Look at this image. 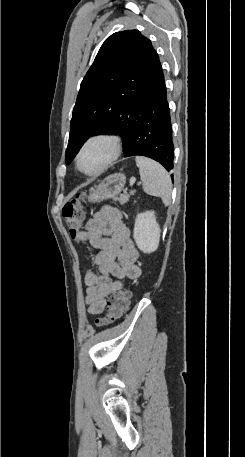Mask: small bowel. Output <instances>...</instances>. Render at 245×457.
<instances>
[{
  "label": "small bowel",
  "instance_id": "small-bowel-1",
  "mask_svg": "<svg viewBox=\"0 0 245 457\" xmlns=\"http://www.w3.org/2000/svg\"><path fill=\"white\" fill-rule=\"evenodd\" d=\"M76 240L98 250L94 256L97 269L87 271L84 281L88 312L99 314L111 294L122 288L121 280L141 275L136 263L138 251L122 214L112 206H104L95 213Z\"/></svg>",
  "mask_w": 245,
  "mask_h": 457
}]
</instances>
